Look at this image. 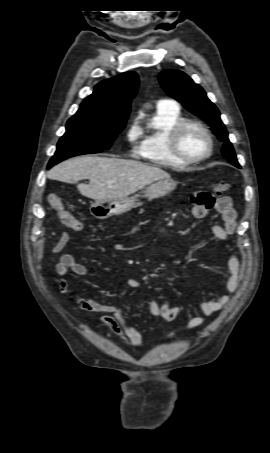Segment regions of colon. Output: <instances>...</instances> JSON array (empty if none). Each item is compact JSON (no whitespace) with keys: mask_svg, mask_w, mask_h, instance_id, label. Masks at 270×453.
<instances>
[{"mask_svg":"<svg viewBox=\"0 0 270 453\" xmlns=\"http://www.w3.org/2000/svg\"><path fill=\"white\" fill-rule=\"evenodd\" d=\"M228 190L229 183L227 182L220 181L214 184V193L216 195H221L227 192ZM194 200L204 205L208 209L211 208L214 203L213 197L209 193L205 192H200L196 194ZM48 202L52 210L57 214V217L60 220V222L65 227L75 232H80L83 230L84 228L83 222L66 208L63 200L59 196L55 194H50L48 196Z\"/></svg>","mask_w":270,"mask_h":453,"instance_id":"colon-1","label":"colon"}]
</instances>
